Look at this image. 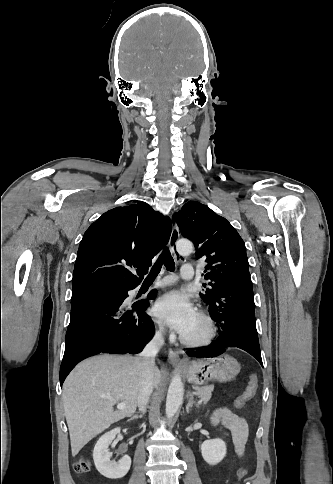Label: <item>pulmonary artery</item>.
Returning a JSON list of instances; mask_svg holds the SVG:
<instances>
[{"mask_svg": "<svg viewBox=\"0 0 333 484\" xmlns=\"http://www.w3.org/2000/svg\"><path fill=\"white\" fill-rule=\"evenodd\" d=\"M194 266L190 263L183 264L181 267V277L183 279H191L194 276ZM175 282V278L172 275L166 276L162 280L158 281L155 285L154 288L157 287H164L171 285Z\"/></svg>", "mask_w": 333, "mask_h": 484, "instance_id": "pulmonary-artery-1", "label": "pulmonary artery"}]
</instances>
